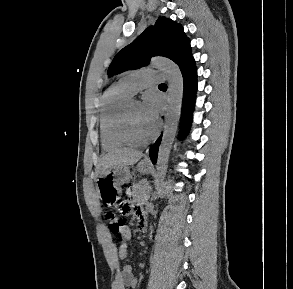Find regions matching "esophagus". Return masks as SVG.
<instances>
[{
    "instance_id": "esophagus-1",
    "label": "esophagus",
    "mask_w": 293,
    "mask_h": 289,
    "mask_svg": "<svg viewBox=\"0 0 293 289\" xmlns=\"http://www.w3.org/2000/svg\"><path fill=\"white\" fill-rule=\"evenodd\" d=\"M144 161H147V162H149V161H150L149 157H148V156H146V157L144 158Z\"/></svg>"
}]
</instances>
